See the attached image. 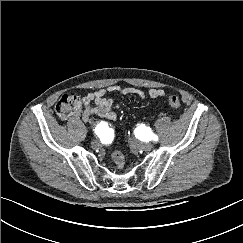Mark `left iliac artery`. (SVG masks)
<instances>
[{"instance_id": "left-iliac-artery-1", "label": "left iliac artery", "mask_w": 243, "mask_h": 243, "mask_svg": "<svg viewBox=\"0 0 243 243\" xmlns=\"http://www.w3.org/2000/svg\"><path fill=\"white\" fill-rule=\"evenodd\" d=\"M150 139L153 140V141H156V142L159 140L158 136L155 135V134H152Z\"/></svg>"}]
</instances>
